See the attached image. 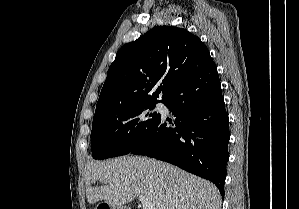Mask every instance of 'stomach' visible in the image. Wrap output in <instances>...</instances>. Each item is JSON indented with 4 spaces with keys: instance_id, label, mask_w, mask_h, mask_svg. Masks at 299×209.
Masks as SVG:
<instances>
[{
    "instance_id": "obj_1",
    "label": "stomach",
    "mask_w": 299,
    "mask_h": 209,
    "mask_svg": "<svg viewBox=\"0 0 299 209\" xmlns=\"http://www.w3.org/2000/svg\"><path fill=\"white\" fill-rule=\"evenodd\" d=\"M104 205L106 206L105 209H123L122 207L112 206L108 203H100L96 206L95 209H102V208H104V207H102Z\"/></svg>"
}]
</instances>
